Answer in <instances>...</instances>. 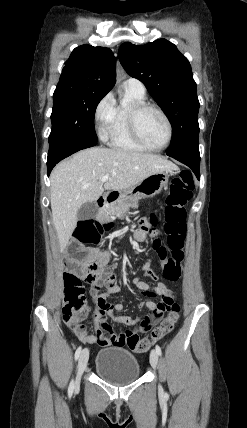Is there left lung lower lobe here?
Instances as JSON below:
<instances>
[{"label": "left lung lower lobe", "mask_w": 247, "mask_h": 428, "mask_svg": "<svg viewBox=\"0 0 247 428\" xmlns=\"http://www.w3.org/2000/svg\"><path fill=\"white\" fill-rule=\"evenodd\" d=\"M166 154L187 165L200 179V154L198 143L188 144L177 148H169Z\"/></svg>", "instance_id": "left-lung-lower-lobe-1"}]
</instances>
